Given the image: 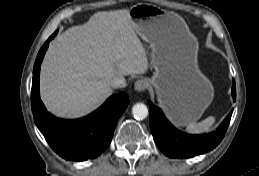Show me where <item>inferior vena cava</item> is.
Here are the masks:
<instances>
[{
  "mask_svg": "<svg viewBox=\"0 0 259 176\" xmlns=\"http://www.w3.org/2000/svg\"><path fill=\"white\" fill-rule=\"evenodd\" d=\"M112 88H124L126 86V80L123 76L115 77L110 83Z\"/></svg>",
  "mask_w": 259,
  "mask_h": 176,
  "instance_id": "obj_1",
  "label": "inferior vena cava"
}]
</instances>
